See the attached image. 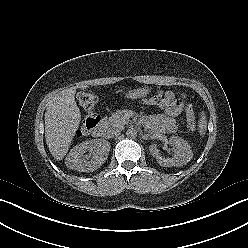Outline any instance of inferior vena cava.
Instances as JSON below:
<instances>
[{
    "instance_id": "inferior-vena-cava-1",
    "label": "inferior vena cava",
    "mask_w": 248,
    "mask_h": 248,
    "mask_svg": "<svg viewBox=\"0 0 248 248\" xmlns=\"http://www.w3.org/2000/svg\"><path fill=\"white\" fill-rule=\"evenodd\" d=\"M122 128L121 127H114L109 130V135L110 136H117L121 133Z\"/></svg>"
}]
</instances>
